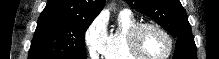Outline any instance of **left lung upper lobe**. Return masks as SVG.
I'll list each match as a JSON object with an SVG mask.
<instances>
[{"mask_svg": "<svg viewBox=\"0 0 219 59\" xmlns=\"http://www.w3.org/2000/svg\"><path fill=\"white\" fill-rule=\"evenodd\" d=\"M133 9L156 21L177 39L173 59H197L187 14L179 0H126Z\"/></svg>", "mask_w": 219, "mask_h": 59, "instance_id": "obj_1", "label": "left lung upper lobe"}]
</instances>
